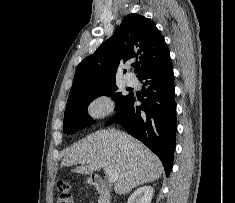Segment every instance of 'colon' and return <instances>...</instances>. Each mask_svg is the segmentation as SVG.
<instances>
[{
	"label": "colon",
	"instance_id": "colon-1",
	"mask_svg": "<svg viewBox=\"0 0 235 203\" xmlns=\"http://www.w3.org/2000/svg\"><path fill=\"white\" fill-rule=\"evenodd\" d=\"M59 191L60 194L57 203H75L72 193L70 191V185L67 182H60Z\"/></svg>",
	"mask_w": 235,
	"mask_h": 203
}]
</instances>
